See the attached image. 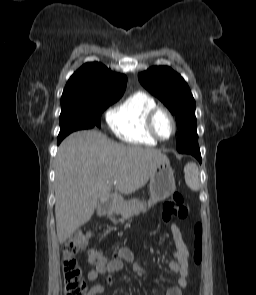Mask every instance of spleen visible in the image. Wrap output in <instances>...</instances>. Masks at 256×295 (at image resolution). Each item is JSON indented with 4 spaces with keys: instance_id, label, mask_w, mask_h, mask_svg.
I'll use <instances>...</instances> for the list:
<instances>
[{
    "instance_id": "3e777b00",
    "label": "spleen",
    "mask_w": 256,
    "mask_h": 295,
    "mask_svg": "<svg viewBox=\"0 0 256 295\" xmlns=\"http://www.w3.org/2000/svg\"><path fill=\"white\" fill-rule=\"evenodd\" d=\"M185 180L189 188H191L194 191L199 190L200 188L199 171L195 163H190L186 166Z\"/></svg>"
}]
</instances>
